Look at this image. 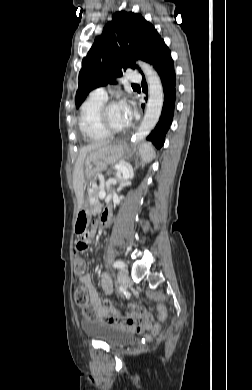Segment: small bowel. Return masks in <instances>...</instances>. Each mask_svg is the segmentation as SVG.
<instances>
[{"label":"small bowel","instance_id":"small-bowel-1","mask_svg":"<svg viewBox=\"0 0 252 390\" xmlns=\"http://www.w3.org/2000/svg\"><path fill=\"white\" fill-rule=\"evenodd\" d=\"M111 218V212L108 208L104 209L101 213V224L105 227L108 226ZM98 223H93L91 229L87 232L88 243L91 241L95 231L97 230ZM81 285H84L89 294L90 305L94 308L96 312V317L98 319H105L109 313L114 310L111 307L105 305V300L102 301L98 291L94 287L92 283V279L89 275H82L79 279ZM101 286L106 295H111L113 293V284L110 276L107 273L101 274ZM125 317V321L123 322V326L126 328L136 331V332H144L149 330L151 327L152 314L150 309L142 306H137L133 303L129 304L128 311L123 313ZM166 316V312L163 307H159V315L157 317L158 321L164 320ZM158 323L154 326L157 327Z\"/></svg>","mask_w":252,"mask_h":390}]
</instances>
